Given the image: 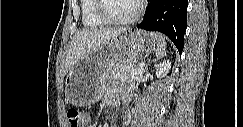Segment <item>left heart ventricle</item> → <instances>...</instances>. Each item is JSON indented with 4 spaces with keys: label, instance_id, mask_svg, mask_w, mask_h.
Here are the masks:
<instances>
[{
    "label": "left heart ventricle",
    "instance_id": "left-heart-ventricle-1",
    "mask_svg": "<svg viewBox=\"0 0 243 127\" xmlns=\"http://www.w3.org/2000/svg\"><path fill=\"white\" fill-rule=\"evenodd\" d=\"M107 12L116 18H125L132 15L136 8L135 0H105Z\"/></svg>",
    "mask_w": 243,
    "mask_h": 127
}]
</instances>
